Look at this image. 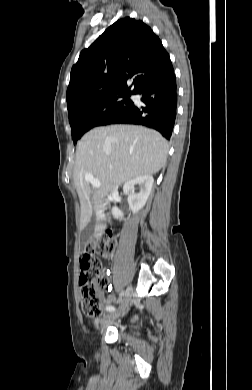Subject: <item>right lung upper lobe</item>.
<instances>
[{"mask_svg": "<svg viewBox=\"0 0 252 390\" xmlns=\"http://www.w3.org/2000/svg\"><path fill=\"white\" fill-rule=\"evenodd\" d=\"M173 72L169 54L152 29L140 20L120 19L84 49L72 67L68 111L109 96L134 94L145 83Z\"/></svg>", "mask_w": 252, "mask_h": 390, "instance_id": "obj_1", "label": "right lung upper lobe"}]
</instances>
